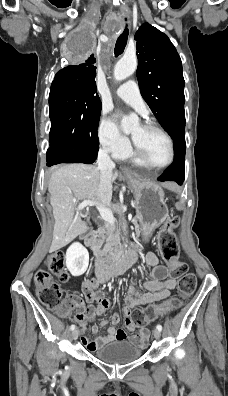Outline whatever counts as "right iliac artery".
<instances>
[{
	"label": "right iliac artery",
	"mask_w": 228,
	"mask_h": 396,
	"mask_svg": "<svg viewBox=\"0 0 228 396\" xmlns=\"http://www.w3.org/2000/svg\"><path fill=\"white\" fill-rule=\"evenodd\" d=\"M70 329H71V330H74V329H75V325H71V326H70Z\"/></svg>",
	"instance_id": "right-iliac-artery-1"
}]
</instances>
